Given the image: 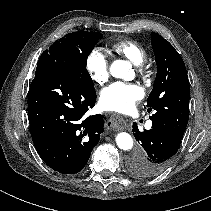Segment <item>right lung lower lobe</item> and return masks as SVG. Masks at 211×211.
<instances>
[{
    "label": "right lung lower lobe",
    "mask_w": 211,
    "mask_h": 211,
    "mask_svg": "<svg viewBox=\"0 0 211 211\" xmlns=\"http://www.w3.org/2000/svg\"><path fill=\"white\" fill-rule=\"evenodd\" d=\"M28 99L30 133L41 159L62 174L80 172L104 130L103 115L84 117L95 105V90L48 59L38 61Z\"/></svg>",
    "instance_id": "right-lung-lower-lobe-1"
}]
</instances>
